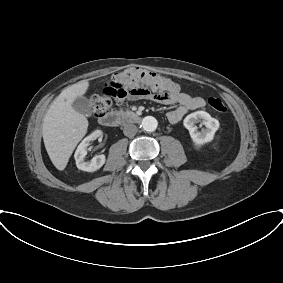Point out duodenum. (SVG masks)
Listing matches in <instances>:
<instances>
[{"mask_svg":"<svg viewBox=\"0 0 283 283\" xmlns=\"http://www.w3.org/2000/svg\"><path fill=\"white\" fill-rule=\"evenodd\" d=\"M141 121V117L133 112H108L99 118L101 125L105 127H117L121 124H132Z\"/></svg>","mask_w":283,"mask_h":283,"instance_id":"410a0bca","label":"duodenum"}]
</instances>
